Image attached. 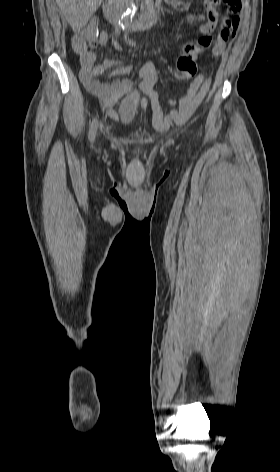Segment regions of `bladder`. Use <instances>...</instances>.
<instances>
[{"label":"bladder","instance_id":"31cf9c89","mask_svg":"<svg viewBox=\"0 0 280 472\" xmlns=\"http://www.w3.org/2000/svg\"><path fill=\"white\" fill-rule=\"evenodd\" d=\"M140 105V95L138 92H133L126 96L118 109L120 122L129 124L133 121Z\"/></svg>","mask_w":280,"mask_h":472}]
</instances>
